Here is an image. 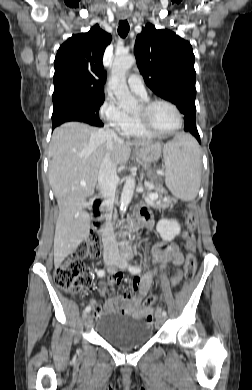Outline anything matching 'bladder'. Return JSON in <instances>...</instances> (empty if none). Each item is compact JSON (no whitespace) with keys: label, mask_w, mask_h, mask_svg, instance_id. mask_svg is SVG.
Returning <instances> with one entry per match:
<instances>
[{"label":"bladder","mask_w":252,"mask_h":390,"mask_svg":"<svg viewBox=\"0 0 252 390\" xmlns=\"http://www.w3.org/2000/svg\"><path fill=\"white\" fill-rule=\"evenodd\" d=\"M95 333L110 345L121 350H131L147 344L153 336L151 327L135 319L102 317Z\"/></svg>","instance_id":"bladder-1"}]
</instances>
